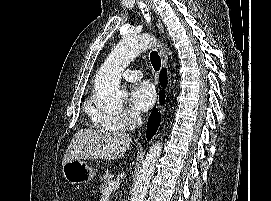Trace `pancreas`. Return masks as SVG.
I'll list each match as a JSON object with an SVG mask.
<instances>
[{"mask_svg":"<svg viewBox=\"0 0 271 201\" xmlns=\"http://www.w3.org/2000/svg\"><path fill=\"white\" fill-rule=\"evenodd\" d=\"M101 192H103L104 190H106L108 188V186L110 185V183L112 181H115L113 178V175H111L109 172H106V174L101 178Z\"/></svg>","mask_w":271,"mask_h":201,"instance_id":"cf45deb5","label":"pancreas"}]
</instances>
